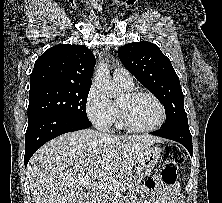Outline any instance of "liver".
<instances>
[{
    "instance_id": "obj_1",
    "label": "liver",
    "mask_w": 222,
    "mask_h": 203,
    "mask_svg": "<svg viewBox=\"0 0 222 203\" xmlns=\"http://www.w3.org/2000/svg\"><path fill=\"white\" fill-rule=\"evenodd\" d=\"M160 139L151 135L113 136L86 129L47 142L27 166L34 203H85L82 179L114 182L138 164Z\"/></svg>"
}]
</instances>
